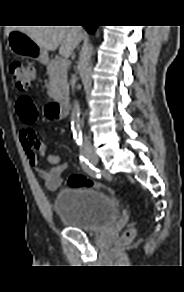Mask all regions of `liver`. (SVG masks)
Here are the masks:
<instances>
[{
	"instance_id": "1",
	"label": "liver",
	"mask_w": 184,
	"mask_h": 292,
	"mask_svg": "<svg viewBox=\"0 0 184 292\" xmlns=\"http://www.w3.org/2000/svg\"><path fill=\"white\" fill-rule=\"evenodd\" d=\"M14 30L27 34L46 52L55 51L60 46L59 53L66 58L82 39L80 26H10L6 29V36Z\"/></svg>"
}]
</instances>
